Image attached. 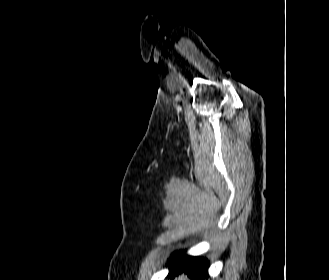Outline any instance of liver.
Listing matches in <instances>:
<instances>
[{"mask_svg": "<svg viewBox=\"0 0 329 280\" xmlns=\"http://www.w3.org/2000/svg\"><path fill=\"white\" fill-rule=\"evenodd\" d=\"M179 280H186L184 277H181Z\"/></svg>", "mask_w": 329, "mask_h": 280, "instance_id": "6515ba94", "label": "liver"}]
</instances>
